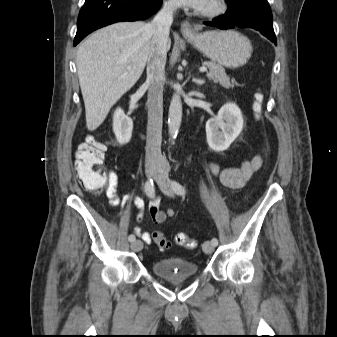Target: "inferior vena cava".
Masks as SVG:
<instances>
[{
	"instance_id": "602c4592",
	"label": "inferior vena cava",
	"mask_w": 337,
	"mask_h": 337,
	"mask_svg": "<svg viewBox=\"0 0 337 337\" xmlns=\"http://www.w3.org/2000/svg\"><path fill=\"white\" fill-rule=\"evenodd\" d=\"M177 4L165 3L154 19L147 24L152 33V44L147 61L148 125L146 163L162 161L161 142L163 124V84L169 31Z\"/></svg>"
}]
</instances>
